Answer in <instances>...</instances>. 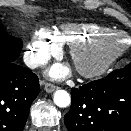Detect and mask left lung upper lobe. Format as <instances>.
Returning <instances> with one entry per match:
<instances>
[{"mask_svg": "<svg viewBox=\"0 0 131 131\" xmlns=\"http://www.w3.org/2000/svg\"><path fill=\"white\" fill-rule=\"evenodd\" d=\"M108 76L131 77V63L128 66H126L124 69L116 70V71L110 73Z\"/></svg>", "mask_w": 131, "mask_h": 131, "instance_id": "5c2ea615", "label": "left lung upper lobe"}]
</instances>
